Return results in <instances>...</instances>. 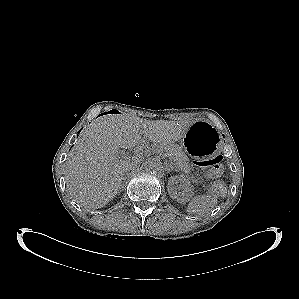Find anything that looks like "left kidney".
I'll return each instance as SVG.
<instances>
[{
    "instance_id": "1",
    "label": "left kidney",
    "mask_w": 299,
    "mask_h": 299,
    "mask_svg": "<svg viewBox=\"0 0 299 299\" xmlns=\"http://www.w3.org/2000/svg\"><path fill=\"white\" fill-rule=\"evenodd\" d=\"M168 193L179 203H186L193 195L190 182L183 176H171L168 180Z\"/></svg>"
}]
</instances>
